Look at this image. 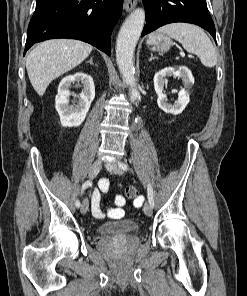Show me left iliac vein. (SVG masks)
Segmentation results:
<instances>
[{
    "label": "left iliac vein",
    "instance_id": "1",
    "mask_svg": "<svg viewBox=\"0 0 247 296\" xmlns=\"http://www.w3.org/2000/svg\"><path fill=\"white\" fill-rule=\"evenodd\" d=\"M106 169L109 172H112V173L117 174V175H122L123 174V171L114 162H111V163L106 164ZM143 211H144V213H145L146 216H151L152 213H153L152 206L149 203H145V205L143 207Z\"/></svg>",
    "mask_w": 247,
    "mask_h": 296
}]
</instances>
